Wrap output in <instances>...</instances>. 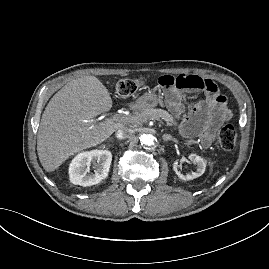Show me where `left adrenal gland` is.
<instances>
[{"mask_svg": "<svg viewBox=\"0 0 269 269\" xmlns=\"http://www.w3.org/2000/svg\"><path fill=\"white\" fill-rule=\"evenodd\" d=\"M162 139H163L164 142L173 141L175 143H178V141L174 137H172L170 134H164L162 136Z\"/></svg>", "mask_w": 269, "mask_h": 269, "instance_id": "left-adrenal-gland-1", "label": "left adrenal gland"}]
</instances>
